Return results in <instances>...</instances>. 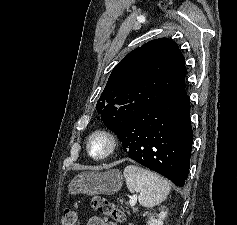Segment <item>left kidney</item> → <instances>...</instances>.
Wrapping results in <instances>:
<instances>
[{"label":"left kidney","mask_w":237,"mask_h":225,"mask_svg":"<svg viewBox=\"0 0 237 225\" xmlns=\"http://www.w3.org/2000/svg\"><path fill=\"white\" fill-rule=\"evenodd\" d=\"M168 214V211H162L157 215V219L155 216H151L149 221L147 222V225H163V220L166 218Z\"/></svg>","instance_id":"1"}]
</instances>
